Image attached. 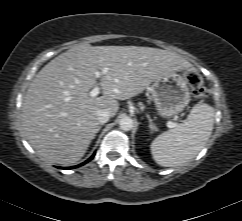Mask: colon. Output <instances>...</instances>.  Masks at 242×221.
<instances>
[{
	"instance_id": "5ec220e1",
	"label": "colon",
	"mask_w": 242,
	"mask_h": 221,
	"mask_svg": "<svg viewBox=\"0 0 242 221\" xmlns=\"http://www.w3.org/2000/svg\"><path fill=\"white\" fill-rule=\"evenodd\" d=\"M187 79L194 97L204 98L208 95V91L202 83V77L197 71L189 70L187 72Z\"/></svg>"
}]
</instances>
